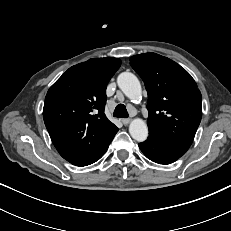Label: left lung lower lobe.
Segmentation results:
<instances>
[{"mask_svg":"<svg viewBox=\"0 0 231 231\" xmlns=\"http://www.w3.org/2000/svg\"><path fill=\"white\" fill-rule=\"evenodd\" d=\"M144 155L159 164H170L185 154L187 149L149 133L148 139L139 143Z\"/></svg>","mask_w":231,"mask_h":231,"instance_id":"left-lung-lower-lobe-1","label":"left lung lower lobe"}]
</instances>
